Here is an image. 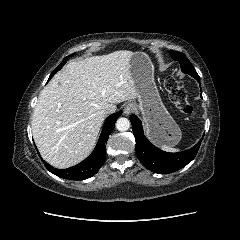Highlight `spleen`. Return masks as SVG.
<instances>
[{
  "mask_svg": "<svg viewBox=\"0 0 240 240\" xmlns=\"http://www.w3.org/2000/svg\"><path fill=\"white\" fill-rule=\"evenodd\" d=\"M160 148L164 151H167V152H177V151H179V149L172 148L168 145H161Z\"/></svg>",
  "mask_w": 240,
  "mask_h": 240,
  "instance_id": "1",
  "label": "spleen"
}]
</instances>
